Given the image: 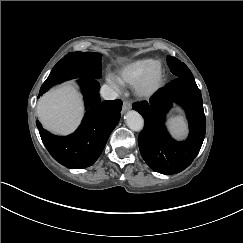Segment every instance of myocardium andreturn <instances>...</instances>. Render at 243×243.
Listing matches in <instances>:
<instances>
[{"label": "myocardium", "mask_w": 243, "mask_h": 243, "mask_svg": "<svg viewBox=\"0 0 243 243\" xmlns=\"http://www.w3.org/2000/svg\"><path fill=\"white\" fill-rule=\"evenodd\" d=\"M167 80L166 70L161 63L151 67L141 81L136 85V96L150 99L157 95L165 86Z\"/></svg>", "instance_id": "obj_1"}]
</instances>
